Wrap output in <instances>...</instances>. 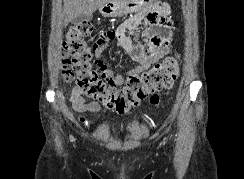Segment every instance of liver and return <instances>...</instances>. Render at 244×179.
I'll return each mask as SVG.
<instances>
[{
	"instance_id": "6515ba94",
	"label": "liver",
	"mask_w": 244,
	"mask_h": 179,
	"mask_svg": "<svg viewBox=\"0 0 244 179\" xmlns=\"http://www.w3.org/2000/svg\"><path fill=\"white\" fill-rule=\"evenodd\" d=\"M107 0H64L65 24L71 22L76 16L81 14H92L100 4H105Z\"/></svg>"
}]
</instances>
